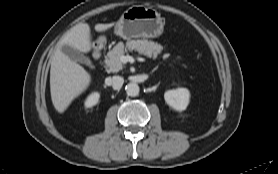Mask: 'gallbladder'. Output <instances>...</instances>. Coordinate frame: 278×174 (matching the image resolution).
<instances>
[{
    "label": "gallbladder",
    "instance_id": "obj_1",
    "mask_svg": "<svg viewBox=\"0 0 278 174\" xmlns=\"http://www.w3.org/2000/svg\"><path fill=\"white\" fill-rule=\"evenodd\" d=\"M61 51L67 55L71 60L80 62L88 67H92V62L91 60L86 57L85 55L81 54L71 46L65 44L61 47Z\"/></svg>",
    "mask_w": 278,
    "mask_h": 174
}]
</instances>
